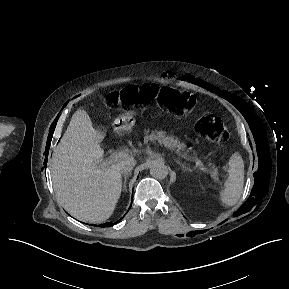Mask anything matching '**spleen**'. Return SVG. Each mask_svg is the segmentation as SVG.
<instances>
[{
	"mask_svg": "<svg viewBox=\"0 0 289 289\" xmlns=\"http://www.w3.org/2000/svg\"><path fill=\"white\" fill-rule=\"evenodd\" d=\"M227 172L228 177L220 193V201L224 207H232L239 201L244 184V163L239 153L230 157Z\"/></svg>",
	"mask_w": 289,
	"mask_h": 289,
	"instance_id": "obj_1",
	"label": "spleen"
}]
</instances>
